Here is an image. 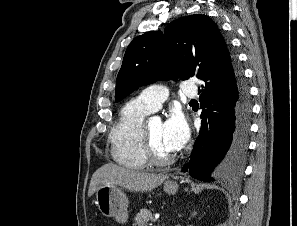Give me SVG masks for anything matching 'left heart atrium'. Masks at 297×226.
<instances>
[{
    "instance_id": "1",
    "label": "left heart atrium",
    "mask_w": 297,
    "mask_h": 226,
    "mask_svg": "<svg viewBox=\"0 0 297 226\" xmlns=\"http://www.w3.org/2000/svg\"><path fill=\"white\" fill-rule=\"evenodd\" d=\"M188 138V128L183 117L172 113L163 123V143L171 152L180 150Z\"/></svg>"
}]
</instances>
